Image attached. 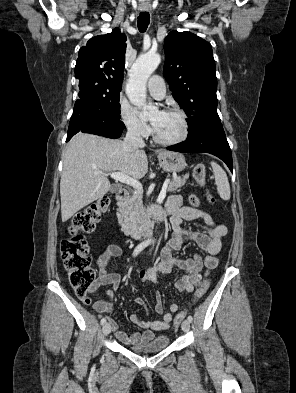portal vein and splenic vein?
Segmentation results:
<instances>
[{
	"label": "portal vein and splenic vein",
	"instance_id": "1",
	"mask_svg": "<svg viewBox=\"0 0 296 393\" xmlns=\"http://www.w3.org/2000/svg\"><path fill=\"white\" fill-rule=\"evenodd\" d=\"M110 177L117 180V181H120L122 183L132 186L133 188H135L139 192H143L142 184L138 180H136L132 177H129L121 172H113L110 174ZM169 182H170L169 179L165 180L163 187H162V191L158 197V200H163L165 198L166 189L168 187Z\"/></svg>",
	"mask_w": 296,
	"mask_h": 393
}]
</instances>
